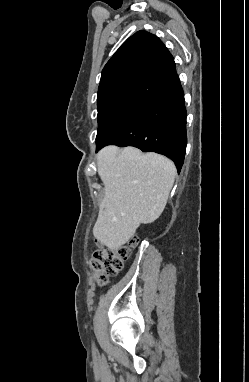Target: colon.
<instances>
[{
    "mask_svg": "<svg viewBox=\"0 0 249 382\" xmlns=\"http://www.w3.org/2000/svg\"><path fill=\"white\" fill-rule=\"evenodd\" d=\"M137 239L132 238L126 245L116 249L99 247L90 258V266L97 273L96 282L99 286L107 283L108 277L118 274L124 262L129 258L131 250L136 246Z\"/></svg>",
    "mask_w": 249,
    "mask_h": 382,
    "instance_id": "colon-1",
    "label": "colon"
}]
</instances>
